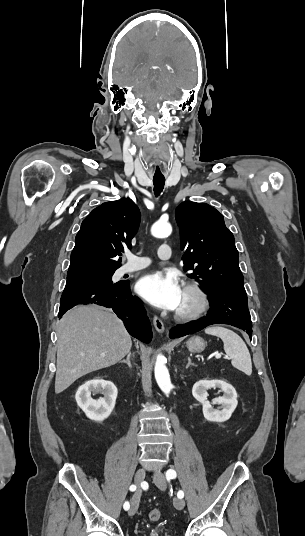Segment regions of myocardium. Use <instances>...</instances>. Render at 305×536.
I'll return each instance as SVG.
<instances>
[{
  "mask_svg": "<svg viewBox=\"0 0 305 536\" xmlns=\"http://www.w3.org/2000/svg\"><path fill=\"white\" fill-rule=\"evenodd\" d=\"M183 290L195 295L197 304L192 309H177L174 317L179 320L196 319L209 311L212 300L208 290L197 281H188L184 284Z\"/></svg>",
  "mask_w": 305,
  "mask_h": 536,
  "instance_id": "f54148a6",
  "label": "myocardium"
}]
</instances>
